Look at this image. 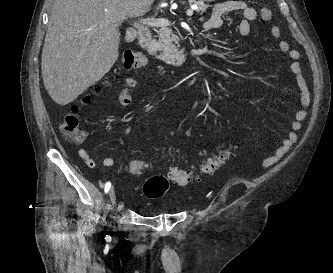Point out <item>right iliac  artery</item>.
I'll list each match as a JSON object with an SVG mask.
<instances>
[{
    "instance_id": "right-iliac-artery-1",
    "label": "right iliac artery",
    "mask_w": 333,
    "mask_h": 273,
    "mask_svg": "<svg viewBox=\"0 0 333 273\" xmlns=\"http://www.w3.org/2000/svg\"><path fill=\"white\" fill-rule=\"evenodd\" d=\"M110 187H111V183H110V182H107V183L105 184V188H104L105 193H107V192L110 190Z\"/></svg>"
}]
</instances>
